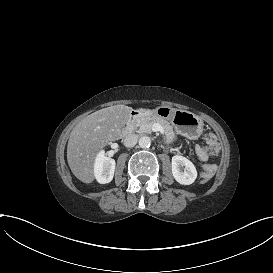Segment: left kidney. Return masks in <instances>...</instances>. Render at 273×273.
Here are the masks:
<instances>
[{"mask_svg":"<svg viewBox=\"0 0 273 273\" xmlns=\"http://www.w3.org/2000/svg\"><path fill=\"white\" fill-rule=\"evenodd\" d=\"M182 167H184L183 171L181 170ZM172 174L175 180L182 185H190L197 178L194 164L180 155L172 157Z\"/></svg>","mask_w":273,"mask_h":273,"instance_id":"1","label":"left kidney"}]
</instances>
